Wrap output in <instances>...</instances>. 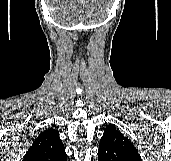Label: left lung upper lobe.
<instances>
[{
	"label": "left lung upper lobe",
	"instance_id": "obj_1",
	"mask_svg": "<svg viewBox=\"0 0 171 161\" xmlns=\"http://www.w3.org/2000/svg\"><path fill=\"white\" fill-rule=\"evenodd\" d=\"M98 161H142L134 145L112 124L106 126L98 149Z\"/></svg>",
	"mask_w": 171,
	"mask_h": 161
}]
</instances>
